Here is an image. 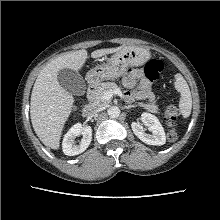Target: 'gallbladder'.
<instances>
[{
	"instance_id": "gallbladder-1",
	"label": "gallbladder",
	"mask_w": 220,
	"mask_h": 220,
	"mask_svg": "<svg viewBox=\"0 0 220 220\" xmlns=\"http://www.w3.org/2000/svg\"><path fill=\"white\" fill-rule=\"evenodd\" d=\"M57 79L59 84L70 94L83 95L85 93V80L79 72L65 68L58 71Z\"/></svg>"
}]
</instances>
